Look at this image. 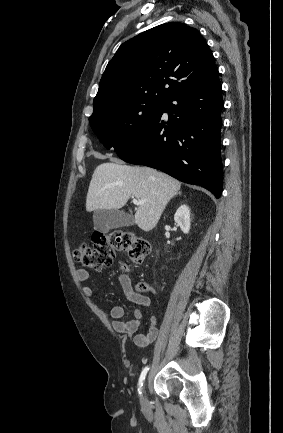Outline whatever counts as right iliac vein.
I'll return each instance as SVG.
<instances>
[{
	"label": "right iliac vein",
	"instance_id": "63e3f726",
	"mask_svg": "<svg viewBox=\"0 0 283 433\" xmlns=\"http://www.w3.org/2000/svg\"><path fill=\"white\" fill-rule=\"evenodd\" d=\"M145 386H146V383H144L143 391L145 390ZM141 404H142V406H143V409L146 410V408H147V404H148V403H147V401H146V396H145V395L142 397Z\"/></svg>",
	"mask_w": 283,
	"mask_h": 433
}]
</instances>
